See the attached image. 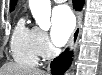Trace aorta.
Masks as SVG:
<instances>
[{"instance_id": "762f6f07", "label": "aorta", "mask_w": 102, "mask_h": 75, "mask_svg": "<svg viewBox=\"0 0 102 75\" xmlns=\"http://www.w3.org/2000/svg\"><path fill=\"white\" fill-rule=\"evenodd\" d=\"M29 6L36 24L42 30H48L51 26V3L50 0H29ZM68 75V73H66Z\"/></svg>"}]
</instances>
